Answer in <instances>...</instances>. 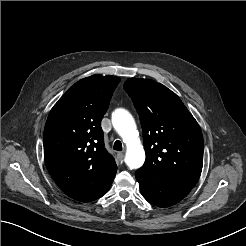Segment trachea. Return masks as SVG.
Here are the masks:
<instances>
[{
	"label": "trachea",
	"instance_id": "trachea-1",
	"mask_svg": "<svg viewBox=\"0 0 246 246\" xmlns=\"http://www.w3.org/2000/svg\"><path fill=\"white\" fill-rule=\"evenodd\" d=\"M113 149L117 150V151H121L122 150V143L119 140L115 141Z\"/></svg>",
	"mask_w": 246,
	"mask_h": 246
}]
</instances>
